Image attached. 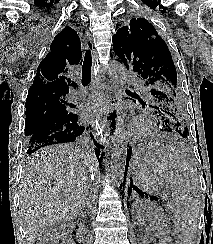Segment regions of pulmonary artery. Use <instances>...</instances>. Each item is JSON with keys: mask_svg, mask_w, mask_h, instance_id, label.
<instances>
[{"mask_svg": "<svg viewBox=\"0 0 213 244\" xmlns=\"http://www.w3.org/2000/svg\"><path fill=\"white\" fill-rule=\"evenodd\" d=\"M127 80H129V78H127ZM86 94V91L81 89V90H75L72 93V99L73 100H79L81 98H83V96Z\"/></svg>", "mask_w": 213, "mask_h": 244, "instance_id": "pulmonary-artery-1", "label": "pulmonary artery"}]
</instances>
